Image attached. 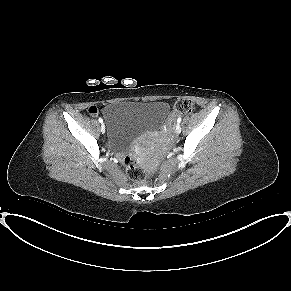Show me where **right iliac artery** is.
Returning a JSON list of instances; mask_svg holds the SVG:
<instances>
[{
	"instance_id": "1",
	"label": "right iliac artery",
	"mask_w": 291,
	"mask_h": 291,
	"mask_svg": "<svg viewBox=\"0 0 291 291\" xmlns=\"http://www.w3.org/2000/svg\"><path fill=\"white\" fill-rule=\"evenodd\" d=\"M99 122H100V123H102V122H103V120H102L101 118H99Z\"/></svg>"
}]
</instances>
